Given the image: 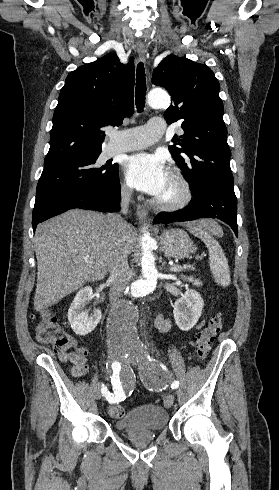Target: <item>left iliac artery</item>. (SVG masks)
Returning <instances> with one entry per match:
<instances>
[{"instance_id":"44dca946","label":"left iliac artery","mask_w":279,"mask_h":490,"mask_svg":"<svg viewBox=\"0 0 279 490\" xmlns=\"http://www.w3.org/2000/svg\"><path fill=\"white\" fill-rule=\"evenodd\" d=\"M161 367L164 369V370H167L166 366L164 364H161Z\"/></svg>"}]
</instances>
